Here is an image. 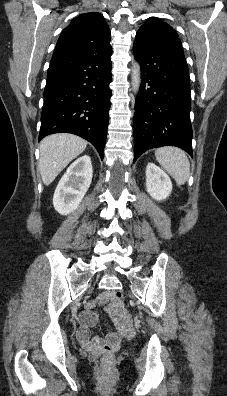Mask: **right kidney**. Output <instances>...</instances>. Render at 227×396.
<instances>
[{"instance_id": "right-kidney-1", "label": "right kidney", "mask_w": 227, "mask_h": 396, "mask_svg": "<svg viewBox=\"0 0 227 396\" xmlns=\"http://www.w3.org/2000/svg\"><path fill=\"white\" fill-rule=\"evenodd\" d=\"M93 176L91 158L87 155L73 162L59 181L53 196L55 210L67 215L73 212L90 187Z\"/></svg>"}]
</instances>
